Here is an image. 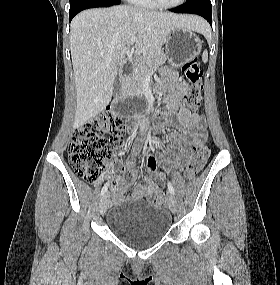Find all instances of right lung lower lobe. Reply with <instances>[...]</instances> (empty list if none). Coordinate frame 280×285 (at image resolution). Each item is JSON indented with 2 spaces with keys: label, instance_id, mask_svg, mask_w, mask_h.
Returning a JSON list of instances; mask_svg holds the SVG:
<instances>
[{
  "label": "right lung lower lobe",
  "instance_id": "right-lung-lower-lobe-1",
  "mask_svg": "<svg viewBox=\"0 0 280 285\" xmlns=\"http://www.w3.org/2000/svg\"><path fill=\"white\" fill-rule=\"evenodd\" d=\"M120 4V0H78L70 4L69 18H72L82 10L94 7H109Z\"/></svg>",
  "mask_w": 280,
  "mask_h": 285
}]
</instances>
